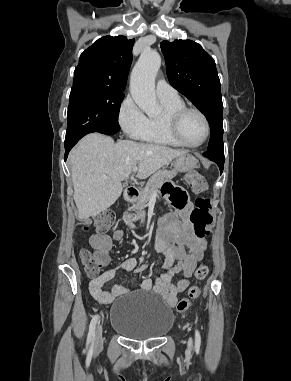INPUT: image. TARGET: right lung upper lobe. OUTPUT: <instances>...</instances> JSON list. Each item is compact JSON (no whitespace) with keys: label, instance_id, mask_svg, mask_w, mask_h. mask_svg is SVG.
I'll return each mask as SVG.
<instances>
[{"label":"right lung upper lobe","instance_id":"obj_1","mask_svg":"<svg viewBox=\"0 0 291 381\" xmlns=\"http://www.w3.org/2000/svg\"><path fill=\"white\" fill-rule=\"evenodd\" d=\"M135 40L124 36L98 39L80 56L73 87H102L124 90Z\"/></svg>","mask_w":291,"mask_h":381}]
</instances>
